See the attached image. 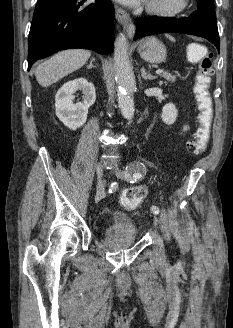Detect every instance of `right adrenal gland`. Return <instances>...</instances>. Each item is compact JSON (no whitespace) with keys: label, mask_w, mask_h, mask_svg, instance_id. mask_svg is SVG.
Here are the masks:
<instances>
[{"label":"right adrenal gland","mask_w":233,"mask_h":328,"mask_svg":"<svg viewBox=\"0 0 233 328\" xmlns=\"http://www.w3.org/2000/svg\"><path fill=\"white\" fill-rule=\"evenodd\" d=\"M94 61H95V58L92 57L91 60H90L89 65H87V69H91L92 67H95V66L93 65V62H94Z\"/></svg>","instance_id":"right-adrenal-gland-1"}]
</instances>
